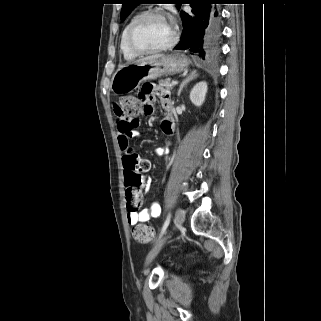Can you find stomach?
Returning a JSON list of instances; mask_svg holds the SVG:
<instances>
[{
    "mask_svg": "<svg viewBox=\"0 0 321 321\" xmlns=\"http://www.w3.org/2000/svg\"><path fill=\"white\" fill-rule=\"evenodd\" d=\"M188 65V60L180 54H168L157 59L127 64L115 72L111 90L117 95L130 93L143 80H154L163 75H175L185 71Z\"/></svg>",
    "mask_w": 321,
    "mask_h": 321,
    "instance_id": "stomach-1",
    "label": "stomach"
}]
</instances>
